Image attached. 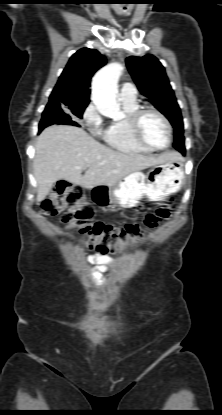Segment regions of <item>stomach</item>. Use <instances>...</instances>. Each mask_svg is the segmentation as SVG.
<instances>
[{
	"label": "stomach",
	"instance_id": "1",
	"mask_svg": "<svg viewBox=\"0 0 222 415\" xmlns=\"http://www.w3.org/2000/svg\"><path fill=\"white\" fill-rule=\"evenodd\" d=\"M184 174L181 159L169 160L151 167L147 173H131L113 186H95L90 189L91 197L102 208H132L144 196L159 202L181 189Z\"/></svg>",
	"mask_w": 222,
	"mask_h": 415
}]
</instances>
